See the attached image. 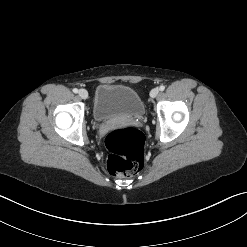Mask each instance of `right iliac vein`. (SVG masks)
<instances>
[{"instance_id":"obj_1","label":"right iliac vein","mask_w":247,"mask_h":247,"mask_svg":"<svg viewBox=\"0 0 247 247\" xmlns=\"http://www.w3.org/2000/svg\"><path fill=\"white\" fill-rule=\"evenodd\" d=\"M78 94L82 99H87L88 98V92L85 89H80Z\"/></svg>"}]
</instances>
